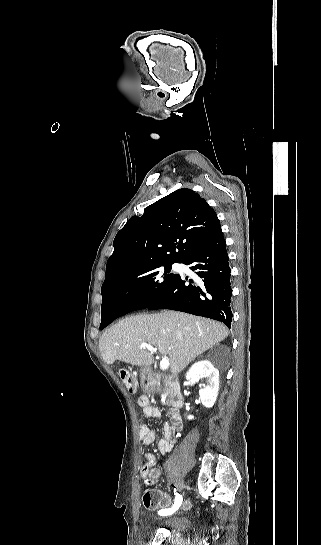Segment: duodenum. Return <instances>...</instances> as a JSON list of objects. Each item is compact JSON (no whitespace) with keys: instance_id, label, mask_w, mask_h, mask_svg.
I'll return each mask as SVG.
<instances>
[{"instance_id":"410a0bca","label":"duodenum","mask_w":321,"mask_h":545,"mask_svg":"<svg viewBox=\"0 0 321 545\" xmlns=\"http://www.w3.org/2000/svg\"><path fill=\"white\" fill-rule=\"evenodd\" d=\"M145 376L149 385L161 392L163 402L171 406L174 412L183 406L182 394L172 379L162 377L152 371H147Z\"/></svg>"}]
</instances>
